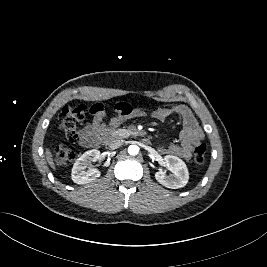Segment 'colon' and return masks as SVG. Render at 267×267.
Listing matches in <instances>:
<instances>
[{"mask_svg": "<svg viewBox=\"0 0 267 267\" xmlns=\"http://www.w3.org/2000/svg\"><path fill=\"white\" fill-rule=\"evenodd\" d=\"M93 108L85 104H69L65 106L60 115V129L66 137V142H59L55 149V162L59 166H65L77 156L76 143L79 140V125ZM206 145L198 143L193 151L195 162L203 163L205 160Z\"/></svg>", "mask_w": 267, "mask_h": 267, "instance_id": "1", "label": "colon"}]
</instances>
